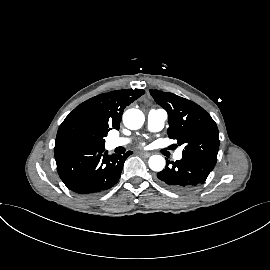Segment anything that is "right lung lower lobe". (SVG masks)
<instances>
[{
	"label": "right lung lower lobe",
	"instance_id": "1",
	"mask_svg": "<svg viewBox=\"0 0 270 270\" xmlns=\"http://www.w3.org/2000/svg\"><path fill=\"white\" fill-rule=\"evenodd\" d=\"M125 155H108L104 147H69L54 149L57 171L66 187L83 196H95L119 180Z\"/></svg>",
	"mask_w": 270,
	"mask_h": 270
}]
</instances>
